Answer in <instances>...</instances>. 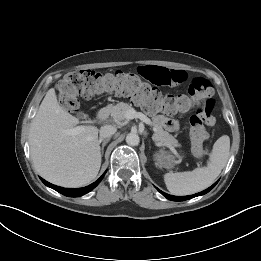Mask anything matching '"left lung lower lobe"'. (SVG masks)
Returning <instances> with one entry per match:
<instances>
[{"label": "left lung lower lobe", "instance_id": "obj_1", "mask_svg": "<svg viewBox=\"0 0 261 261\" xmlns=\"http://www.w3.org/2000/svg\"><path fill=\"white\" fill-rule=\"evenodd\" d=\"M218 182V181H217ZM214 183L211 187H209L208 189L202 191V192H199L197 194H194V195H190V196H172V195H169V194H166L164 192H162L161 190H159L157 188V190L162 194L164 195L167 199L169 200H172V201H185V200H188V199H191V198H194V197H197V196H200V195H204L206 193H208L212 188H214V186L217 184Z\"/></svg>", "mask_w": 261, "mask_h": 261}]
</instances>
